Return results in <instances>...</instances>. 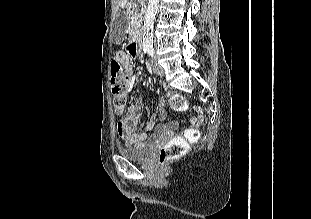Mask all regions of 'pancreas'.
I'll return each instance as SVG.
<instances>
[{
	"mask_svg": "<svg viewBox=\"0 0 311 219\" xmlns=\"http://www.w3.org/2000/svg\"><path fill=\"white\" fill-rule=\"evenodd\" d=\"M143 7V4L138 5L136 3H132L131 8L128 10V14L131 20L129 31L132 34H138L139 32L143 18Z\"/></svg>",
	"mask_w": 311,
	"mask_h": 219,
	"instance_id": "obj_1",
	"label": "pancreas"
}]
</instances>
